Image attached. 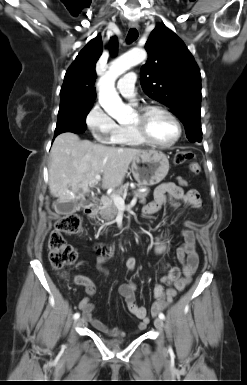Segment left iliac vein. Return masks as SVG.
I'll return each mask as SVG.
<instances>
[{"label":"left iliac vein","instance_id":"left-iliac-vein-1","mask_svg":"<svg viewBox=\"0 0 247 385\" xmlns=\"http://www.w3.org/2000/svg\"><path fill=\"white\" fill-rule=\"evenodd\" d=\"M154 325H155V327H156L157 329L162 330L163 327H164V322H163V320H162L161 318H156V319L154 320Z\"/></svg>","mask_w":247,"mask_h":385}]
</instances>
